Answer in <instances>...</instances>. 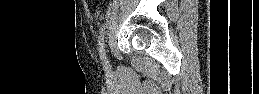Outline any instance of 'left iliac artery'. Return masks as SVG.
<instances>
[{"instance_id":"44dca946","label":"left iliac artery","mask_w":259,"mask_h":94,"mask_svg":"<svg viewBox=\"0 0 259 94\" xmlns=\"http://www.w3.org/2000/svg\"><path fill=\"white\" fill-rule=\"evenodd\" d=\"M99 55H100V59L102 61V64L104 65L105 68H108L109 63L106 57V53H105V49H104V25H102L101 30H100V35H99Z\"/></svg>"}]
</instances>
